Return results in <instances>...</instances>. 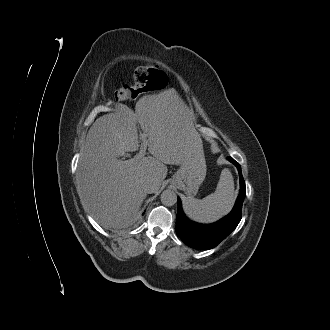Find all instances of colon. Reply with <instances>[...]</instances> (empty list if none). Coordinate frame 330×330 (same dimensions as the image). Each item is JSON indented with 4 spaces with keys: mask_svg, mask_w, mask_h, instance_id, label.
Returning <instances> with one entry per match:
<instances>
[{
    "mask_svg": "<svg viewBox=\"0 0 330 330\" xmlns=\"http://www.w3.org/2000/svg\"><path fill=\"white\" fill-rule=\"evenodd\" d=\"M166 83L165 74L153 64H144L134 73L133 83L123 84L116 91L119 100H132L139 94L157 90Z\"/></svg>",
    "mask_w": 330,
    "mask_h": 330,
    "instance_id": "1",
    "label": "colon"
}]
</instances>
